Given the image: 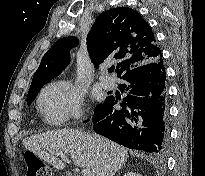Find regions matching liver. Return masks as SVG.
<instances>
[{
    "mask_svg": "<svg viewBox=\"0 0 205 176\" xmlns=\"http://www.w3.org/2000/svg\"><path fill=\"white\" fill-rule=\"evenodd\" d=\"M25 148L57 169L65 165L55 154L70 155L79 167L87 169L91 176H113L127 161L124 147L96 134L74 129H58L26 137Z\"/></svg>",
    "mask_w": 205,
    "mask_h": 176,
    "instance_id": "liver-1",
    "label": "liver"
}]
</instances>
